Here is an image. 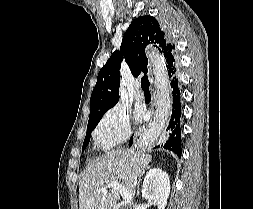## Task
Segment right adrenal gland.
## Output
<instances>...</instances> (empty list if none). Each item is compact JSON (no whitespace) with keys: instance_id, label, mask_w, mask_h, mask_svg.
<instances>
[{"instance_id":"obj_1","label":"right adrenal gland","mask_w":253,"mask_h":209,"mask_svg":"<svg viewBox=\"0 0 253 209\" xmlns=\"http://www.w3.org/2000/svg\"><path fill=\"white\" fill-rule=\"evenodd\" d=\"M148 169H150V167L148 166L147 168H146V170H148ZM145 172V171H144ZM143 172V173H144ZM139 182H140V177H139ZM139 182H138V187H139ZM139 194V193H138Z\"/></svg>"}]
</instances>
